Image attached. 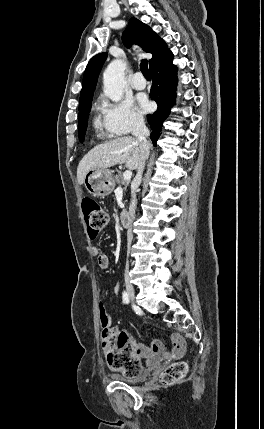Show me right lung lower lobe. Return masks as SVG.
<instances>
[{
    "label": "right lung lower lobe",
    "instance_id": "obj_1",
    "mask_svg": "<svg viewBox=\"0 0 264 429\" xmlns=\"http://www.w3.org/2000/svg\"><path fill=\"white\" fill-rule=\"evenodd\" d=\"M173 54L169 50L152 68L149 69L153 84L150 97L156 101L158 109L152 115H147L148 123L153 130L151 140L153 145L160 136L163 122L175 104L177 67L172 64Z\"/></svg>",
    "mask_w": 264,
    "mask_h": 429
}]
</instances>
